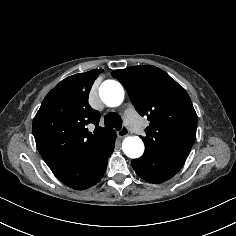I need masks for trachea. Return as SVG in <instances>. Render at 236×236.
<instances>
[{
	"instance_id": "1",
	"label": "trachea",
	"mask_w": 236,
	"mask_h": 236,
	"mask_svg": "<svg viewBox=\"0 0 236 236\" xmlns=\"http://www.w3.org/2000/svg\"><path fill=\"white\" fill-rule=\"evenodd\" d=\"M104 123L106 128H116L117 130H120L122 127V119L121 117L116 113H108L104 117Z\"/></svg>"
}]
</instances>
